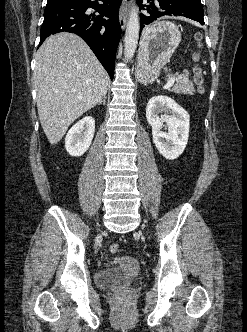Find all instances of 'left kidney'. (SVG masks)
<instances>
[{
    "label": "left kidney",
    "mask_w": 247,
    "mask_h": 332,
    "mask_svg": "<svg viewBox=\"0 0 247 332\" xmlns=\"http://www.w3.org/2000/svg\"><path fill=\"white\" fill-rule=\"evenodd\" d=\"M166 112L170 115H161ZM146 118L152 127L153 142L166 159L174 160L184 151L189 137L190 116L188 112L167 96L152 97L146 107ZM166 123L167 132L161 131Z\"/></svg>",
    "instance_id": "5707ae66"
}]
</instances>
